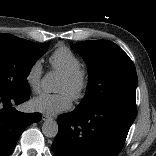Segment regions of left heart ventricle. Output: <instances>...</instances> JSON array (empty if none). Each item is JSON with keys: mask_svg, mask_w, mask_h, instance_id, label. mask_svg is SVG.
Wrapping results in <instances>:
<instances>
[{"mask_svg": "<svg viewBox=\"0 0 156 156\" xmlns=\"http://www.w3.org/2000/svg\"><path fill=\"white\" fill-rule=\"evenodd\" d=\"M56 91L59 93L64 92L72 96L73 88L68 82H66L63 78H61L58 82Z\"/></svg>", "mask_w": 156, "mask_h": 156, "instance_id": "b2bd125f", "label": "left heart ventricle"}]
</instances>
